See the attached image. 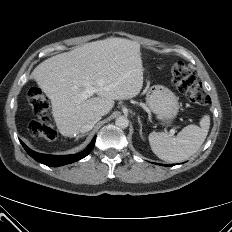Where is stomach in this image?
<instances>
[{
	"label": "stomach",
	"mask_w": 232,
	"mask_h": 232,
	"mask_svg": "<svg viewBox=\"0 0 232 232\" xmlns=\"http://www.w3.org/2000/svg\"><path fill=\"white\" fill-rule=\"evenodd\" d=\"M146 100L150 110L164 123H170L178 114V98L164 86L155 85L151 87Z\"/></svg>",
	"instance_id": "obj_1"
}]
</instances>
